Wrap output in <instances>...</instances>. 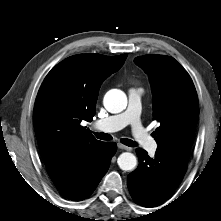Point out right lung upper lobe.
Here are the masks:
<instances>
[{
    "label": "right lung upper lobe",
    "mask_w": 221,
    "mask_h": 221,
    "mask_svg": "<svg viewBox=\"0 0 221 221\" xmlns=\"http://www.w3.org/2000/svg\"><path fill=\"white\" fill-rule=\"evenodd\" d=\"M127 54L71 56L57 64L45 77L34 106V129L46 167L96 149V140L82 121L95 115L99 88L116 72Z\"/></svg>",
    "instance_id": "obj_1"
}]
</instances>
